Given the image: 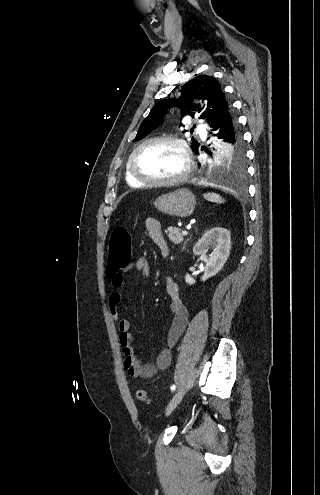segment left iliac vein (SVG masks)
<instances>
[{
  "instance_id": "1",
  "label": "left iliac vein",
  "mask_w": 320,
  "mask_h": 495,
  "mask_svg": "<svg viewBox=\"0 0 320 495\" xmlns=\"http://www.w3.org/2000/svg\"><path fill=\"white\" fill-rule=\"evenodd\" d=\"M185 394V391L183 389L178 390L172 399L170 400L167 408H166V415H169L172 413V411L178 406V404L181 402L183 399V396Z\"/></svg>"
}]
</instances>
